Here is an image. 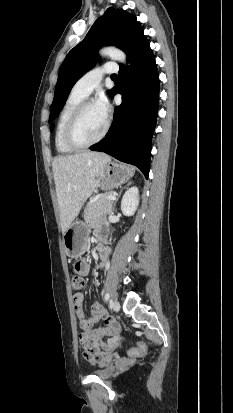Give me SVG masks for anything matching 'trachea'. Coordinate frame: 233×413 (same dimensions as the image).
Returning <instances> with one entry per match:
<instances>
[{"label":"trachea","mask_w":233,"mask_h":413,"mask_svg":"<svg viewBox=\"0 0 233 413\" xmlns=\"http://www.w3.org/2000/svg\"><path fill=\"white\" fill-rule=\"evenodd\" d=\"M111 77H112V78H115V77H117V75L113 74V75H111Z\"/></svg>","instance_id":"obj_1"}]
</instances>
